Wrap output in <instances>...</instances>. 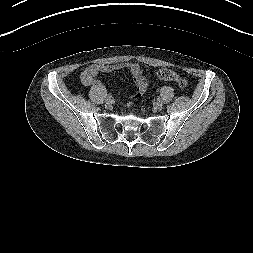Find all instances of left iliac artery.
I'll return each instance as SVG.
<instances>
[{
	"instance_id": "44dca946",
	"label": "left iliac artery",
	"mask_w": 253,
	"mask_h": 253,
	"mask_svg": "<svg viewBox=\"0 0 253 253\" xmlns=\"http://www.w3.org/2000/svg\"><path fill=\"white\" fill-rule=\"evenodd\" d=\"M156 101H157L158 103H161V102L163 101V98H162L161 96H158V97L156 98Z\"/></svg>"
}]
</instances>
